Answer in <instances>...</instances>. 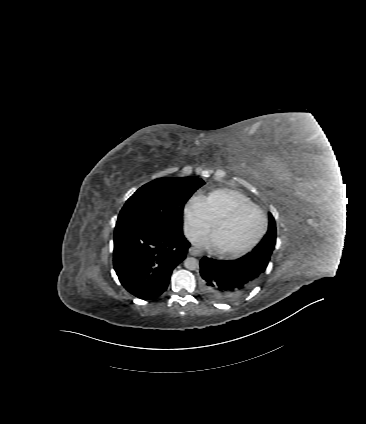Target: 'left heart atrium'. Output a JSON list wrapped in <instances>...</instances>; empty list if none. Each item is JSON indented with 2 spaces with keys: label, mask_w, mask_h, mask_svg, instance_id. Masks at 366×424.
<instances>
[{
  "label": "left heart atrium",
  "mask_w": 366,
  "mask_h": 424,
  "mask_svg": "<svg viewBox=\"0 0 366 424\" xmlns=\"http://www.w3.org/2000/svg\"><path fill=\"white\" fill-rule=\"evenodd\" d=\"M198 242H200L202 244H206V245L212 246L214 248L217 247V243H216L214 237L200 239V240H198Z\"/></svg>",
  "instance_id": "1"
}]
</instances>
